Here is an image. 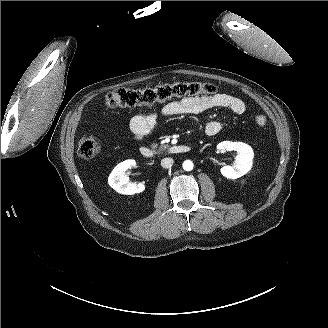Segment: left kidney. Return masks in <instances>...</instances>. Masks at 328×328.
Wrapping results in <instances>:
<instances>
[{
	"label": "left kidney",
	"instance_id": "obj_1",
	"mask_svg": "<svg viewBox=\"0 0 328 328\" xmlns=\"http://www.w3.org/2000/svg\"><path fill=\"white\" fill-rule=\"evenodd\" d=\"M219 151H236L237 155L232 165L223 166L221 174L229 179H236L247 174L252 168L254 157L251 146L243 142L223 141L217 145Z\"/></svg>",
	"mask_w": 328,
	"mask_h": 328
}]
</instances>
